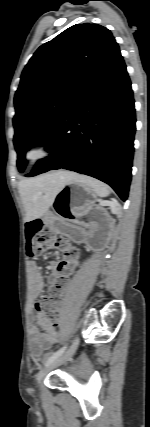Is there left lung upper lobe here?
I'll use <instances>...</instances> for the list:
<instances>
[{
  "label": "left lung upper lobe",
  "instance_id": "obj_1",
  "mask_svg": "<svg viewBox=\"0 0 150 427\" xmlns=\"http://www.w3.org/2000/svg\"><path fill=\"white\" fill-rule=\"evenodd\" d=\"M119 50L98 24H76L43 44L24 68L14 104V145L23 172L30 146L45 142L93 74Z\"/></svg>",
  "mask_w": 150,
  "mask_h": 427
}]
</instances>
